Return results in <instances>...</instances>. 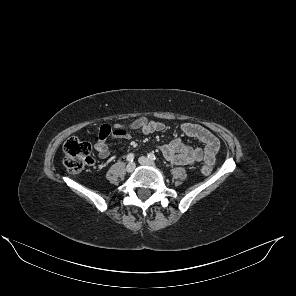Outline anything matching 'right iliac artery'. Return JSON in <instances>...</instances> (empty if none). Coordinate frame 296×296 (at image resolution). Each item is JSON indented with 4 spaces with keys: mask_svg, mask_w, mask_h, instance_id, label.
Masks as SVG:
<instances>
[{
    "mask_svg": "<svg viewBox=\"0 0 296 296\" xmlns=\"http://www.w3.org/2000/svg\"><path fill=\"white\" fill-rule=\"evenodd\" d=\"M133 160H134V154H132V153L128 154L127 155V161L128 162H133Z\"/></svg>",
    "mask_w": 296,
    "mask_h": 296,
    "instance_id": "82829eb1",
    "label": "right iliac artery"
}]
</instances>
